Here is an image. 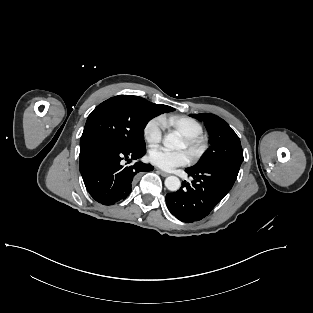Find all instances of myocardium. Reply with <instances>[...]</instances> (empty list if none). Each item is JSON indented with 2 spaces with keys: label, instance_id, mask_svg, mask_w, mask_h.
Wrapping results in <instances>:
<instances>
[{
  "label": "myocardium",
  "instance_id": "1",
  "mask_svg": "<svg viewBox=\"0 0 313 313\" xmlns=\"http://www.w3.org/2000/svg\"><path fill=\"white\" fill-rule=\"evenodd\" d=\"M186 148L193 161L199 160L208 149V141L204 136L184 137Z\"/></svg>",
  "mask_w": 313,
  "mask_h": 313
}]
</instances>
